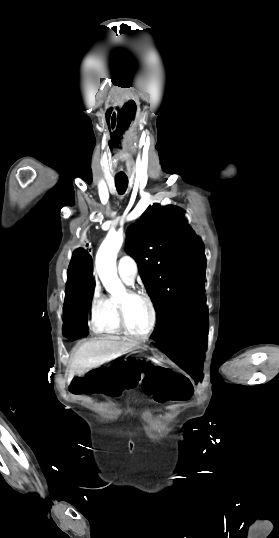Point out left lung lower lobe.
Returning <instances> with one entry per match:
<instances>
[{
    "mask_svg": "<svg viewBox=\"0 0 279 538\" xmlns=\"http://www.w3.org/2000/svg\"><path fill=\"white\" fill-rule=\"evenodd\" d=\"M207 334L208 310L205 308L174 334L151 337L155 339L156 347L198 381L202 373Z\"/></svg>",
    "mask_w": 279,
    "mask_h": 538,
    "instance_id": "left-lung-lower-lobe-1",
    "label": "left lung lower lobe"
}]
</instances>
